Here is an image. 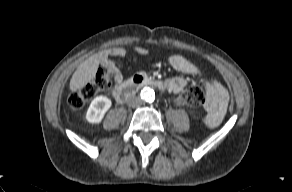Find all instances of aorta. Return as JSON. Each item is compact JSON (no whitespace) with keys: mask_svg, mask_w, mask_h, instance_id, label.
Returning <instances> with one entry per match:
<instances>
[{"mask_svg":"<svg viewBox=\"0 0 292 192\" xmlns=\"http://www.w3.org/2000/svg\"><path fill=\"white\" fill-rule=\"evenodd\" d=\"M141 98L146 102H153L155 99V92L150 87H144L141 90Z\"/></svg>","mask_w":292,"mask_h":192,"instance_id":"obj_1","label":"aorta"}]
</instances>
